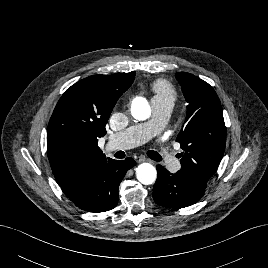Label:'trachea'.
Returning <instances> with one entry per match:
<instances>
[{"mask_svg": "<svg viewBox=\"0 0 268 268\" xmlns=\"http://www.w3.org/2000/svg\"><path fill=\"white\" fill-rule=\"evenodd\" d=\"M148 156L151 159L155 160V161H161L162 160V157L157 152H155V151H150L148 153Z\"/></svg>", "mask_w": 268, "mask_h": 268, "instance_id": "trachea-1", "label": "trachea"}]
</instances>
